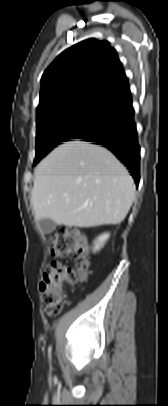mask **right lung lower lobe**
I'll list each match as a JSON object with an SVG mask.
<instances>
[{"label": "right lung lower lobe", "mask_w": 168, "mask_h": 406, "mask_svg": "<svg viewBox=\"0 0 168 406\" xmlns=\"http://www.w3.org/2000/svg\"><path fill=\"white\" fill-rule=\"evenodd\" d=\"M109 116L79 139L110 150L129 169L139 183L140 146L138 144L130 89L107 102Z\"/></svg>", "instance_id": "98d812e1"}]
</instances>
